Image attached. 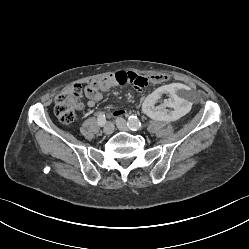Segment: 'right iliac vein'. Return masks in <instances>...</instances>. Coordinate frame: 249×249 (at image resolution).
<instances>
[{"instance_id": "obj_1", "label": "right iliac vein", "mask_w": 249, "mask_h": 249, "mask_svg": "<svg viewBox=\"0 0 249 249\" xmlns=\"http://www.w3.org/2000/svg\"><path fill=\"white\" fill-rule=\"evenodd\" d=\"M114 131V125L112 122H107L104 129H103V132L104 134L106 135H111Z\"/></svg>"}]
</instances>
